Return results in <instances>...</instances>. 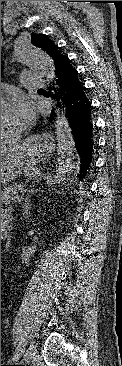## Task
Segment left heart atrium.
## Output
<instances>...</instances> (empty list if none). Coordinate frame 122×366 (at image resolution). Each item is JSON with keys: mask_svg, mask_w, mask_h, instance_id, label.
I'll list each match as a JSON object with an SVG mask.
<instances>
[{"mask_svg": "<svg viewBox=\"0 0 122 366\" xmlns=\"http://www.w3.org/2000/svg\"><path fill=\"white\" fill-rule=\"evenodd\" d=\"M14 103L16 113L20 119V127L27 126L34 116L31 103L22 96L16 97Z\"/></svg>", "mask_w": 122, "mask_h": 366, "instance_id": "left-heart-atrium-1", "label": "left heart atrium"}]
</instances>
